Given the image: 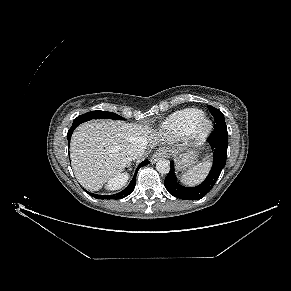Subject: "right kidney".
I'll list each match as a JSON object with an SVG mask.
<instances>
[{
	"mask_svg": "<svg viewBox=\"0 0 291 291\" xmlns=\"http://www.w3.org/2000/svg\"><path fill=\"white\" fill-rule=\"evenodd\" d=\"M128 179V175L127 174H119L117 176H115L113 179H111L108 184H107V188L110 190H115L118 189L120 187H122L125 182Z\"/></svg>",
	"mask_w": 291,
	"mask_h": 291,
	"instance_id": "ca27d5eb",
	"label": "right kidney"
}]
</instances>
